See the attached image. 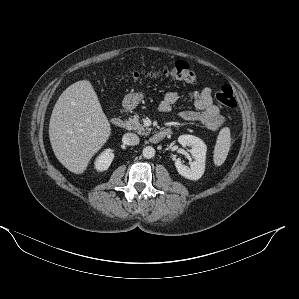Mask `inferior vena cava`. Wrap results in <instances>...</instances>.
Masks as SVG:
<instances>
[{
	"label": "inferior vena cava",
	"instance_id": "inferior-vena-cava-1",
	"mask_svg": "<svg viewBox=\"0 0 299 299\" xmlns=\"http://www.w3.org/2000/svg\"><path fill=\"white\" fill-rule=\"evenodd\" d=\"M139 141V137L134 133H126L123 136V142L127 145H137Z\"/></svg>",
	"mask_w": 299,
	"mask_h": 299
}]
</instances>
